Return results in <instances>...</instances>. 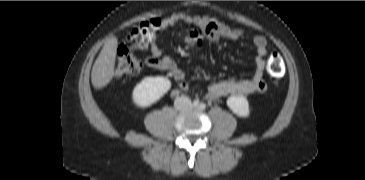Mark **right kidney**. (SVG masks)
<instances>
[{"mask_svg": "<svg viewBox=\"0 0 365 180\" xmlns=\"http://www.w3.org/2000/svg\"><path fill=\"white\" fill-rule=\"evenodd\" d=\"M171 88L166 77H145L133 89L132 101L140 108H146L157 102Z\"/></svg>", "mask_w": 365, "mask_h": 180, "instance_id": "right-kidney-1", "label": "right kidney"}]
</instances>
